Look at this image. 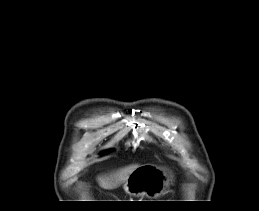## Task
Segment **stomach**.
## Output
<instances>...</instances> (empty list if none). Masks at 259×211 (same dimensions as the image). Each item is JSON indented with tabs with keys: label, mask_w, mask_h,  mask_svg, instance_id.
<instances>
[{
	"label": "stomach",
	"mask_w": 259,
	"mask_h": 211,
	"mask_svg": "<svg viewBox=\"0 0 259 211\" xmlns=\"http://www.w3.org/2000/svg\"><path fill=\"white\" fill-rule=\"evenodd\" d=\"M167 187L168 179L164 169L150 164L136 168L123 185L128 195L149 198L163 195Z\"/></svg>",
	"instance_id": "1"
}]
</instances>
